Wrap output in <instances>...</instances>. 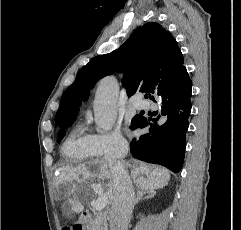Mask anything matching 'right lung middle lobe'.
Instances as JSON below:
<instances>
[{"label":"right lung middle lobe","instance_id":"1","mask_svg":"<svg viewBox=\"0 0 241 230\" xmlns=\"http://www.w3.org/2000/svg\"><path fill=\"white\" fill-rule=\"evenodd\" d=\"M140 118V116H136L132 119L131 124H135V122Z\"/></svg>","mask_w":241,"mask_h":230}]
</instances>
